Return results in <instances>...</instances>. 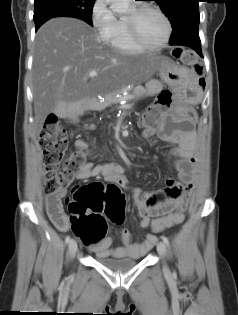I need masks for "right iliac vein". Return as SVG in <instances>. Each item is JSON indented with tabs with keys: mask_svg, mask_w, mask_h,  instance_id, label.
Returning <instances> with one entry per match:
<instances>
[{
	"mask_svg": "<svg viewBox=\"0 0 238 315\" xmlns=\"http://www.w3.org/2000/svg\"><path fill=\"white\" fill-rule=\"evenodd\" d=\"M69 251L72 256H74L77 252V242L75 240H71L69 243Z\"/></svg>",
	"mask_w": 238,
	"mask_h": 315,
	"instance_id": "right-iliac-vein-1",
	"label": "right iliac vein"
}]
</instances>
